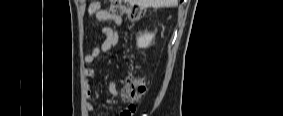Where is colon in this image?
Instances as JSON below:
<instances>
[{
	"label": "colon",
	"mask_w": 283,
	"mask_h": 116,
	"mask_svg": "<svg viewBox=\"0 0 283 116\" xmlns=\"http://www.w3.org/2000/svg\"><path fill=\"white\" fill-rule=\"evenodd\" d=\"M111 3V11L118 12L128 21L136 22L143 16V9L137 4L122 1H109ZM146 90L144 81L138 76L131 74L127 80L122 96L127 102H133L139 99ZM135 106L130 105L123 110L122 116H132L135 112Z\"/></svg>",
	"instance_id": "colon-1"
}]
</instances>
